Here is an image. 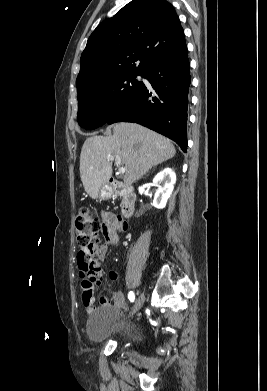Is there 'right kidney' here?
<instances>
[{
    "instance_id": "obj_1",
    "label": "right kidney",
    "mask_w": 267,
    "mask_h": 391,
    "mask_svg": "<svg viewBox=\"0 0 267 391\" xmlns=\"http://www.w3.org/2000/svg\"><path fill=\"white\" fill-rule=\"evenodd\" d=\"M176 183V174L171 168H165L153 179V184L158 187L153 206L157 209H163L172 194L174 184Z\"/></svg>"
}]
</instances>
